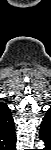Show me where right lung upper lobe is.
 <instances>
[{
    "instance_id": "cb5924a9",
    "label": "right lung upper lobe",
    "mask_w": 51,
    "mask_h": 150,
    "mask_svg": "<svg viewBox=\"0 0 51 150\" xmlns=\"http://www.w3.org/2000/svg\"><path fill=\"white\" fill-rule=\"evenodd\" d=\"M16 144L14 121L8 106L0 102V149L12 150Z\"/></svg>"
}]
</instances>
